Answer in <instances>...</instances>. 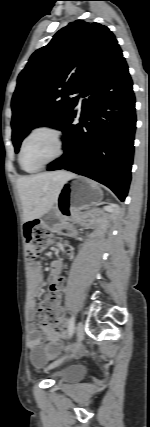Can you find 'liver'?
Masks as SVG:
<instances>
[{
    "mask_svg": "<svg viewBox=\"0 0 150 427\" xmlns=\"http://www.w3.org/2000/svg\"><path fill=\"white\" fill-rule=\"evenodd\" d=\"M75 175L66 171L45 172L21 177L17 189L23 206V219L40 218L52 209L64 183Z\"/></svg>",
    "mask_w": 150,
    "mask_h": 427,
    "instance_id": "liver-1",
    "label": "liver"
}]
</instances>
